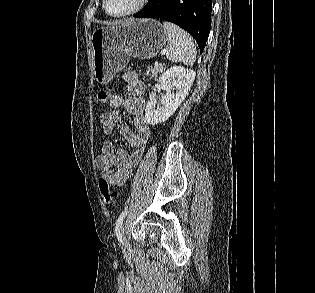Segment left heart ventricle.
Instances as JSON below:
<instances>
[{"instance_id": "left-heart-ventricle-1", "label": "left heart ventricle", "mask_w": 315, "mask_h": 293, "mask_svg": "<svg viewBox=\"0 0 315 293\" xmlns=\"http://www.w3.org/2000/svg\"><path fill=\"white\" fill-rule=\"evenodd\" d=\"M139 0H107V9L112 14H122L134 8Z\"/></svg>"}]
</instances>
